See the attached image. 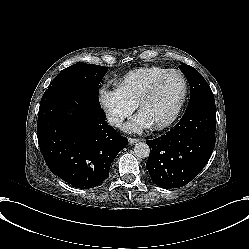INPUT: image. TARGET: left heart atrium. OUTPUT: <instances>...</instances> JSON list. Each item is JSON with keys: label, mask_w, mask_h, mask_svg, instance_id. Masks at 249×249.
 Segmentation results:
<instances>
[{"label": "left heart atrium", "mask_w": 249, "mask_h": 249, "mask_svg": "<svg viewBox=\"0 0 249 249\" xmlns=\"http://www.w3.org/2000/svg\"><path fill=\"white\" fill-rule=\"evenodd\" d=\"M133 124L136 128H139V129L147 126L146 122L142 118L135 119Z\"/></svg>", "instance_id": "obj_1"}]
</instances>
